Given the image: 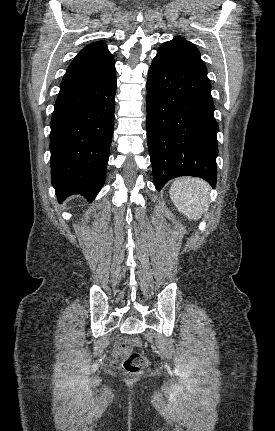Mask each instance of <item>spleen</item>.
<instances>
[{
    "mask_svg": "<svg viewBox=\"0 0 275 431\" xmlns=\"http://www.w3.org/2000/svg\"><path fill=\"white\" fill-rule=\"evenodd\" d=\"M209 184L199 178L181 177L170 187V198L188 219L198 220L209 209Z\"/></svg>",
    "mask_w": 275,
    "mask_h": 431,
    "instance_id": "3e777b00",
    "label": "spleen"
}]
</instances>
